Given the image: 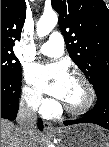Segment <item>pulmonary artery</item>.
<instances>
[{"instance_id": "pulmonary-artery-1", "label": "pulmonary artery", "mask_w": 109, "mask_h": 147, "mask_svg": "<svg viewBox=\"0 0 109 147\" xmlns=\"http://www.w3.org/2000/svg\"><path fill=\"white\" fill-rule=\"evenodd\" d=\"M37 53L44 56L57 58L64 53V39L60 33H52L48 40L37 48Z\"/></svg>"}]
</instances>
